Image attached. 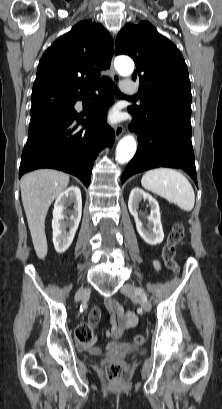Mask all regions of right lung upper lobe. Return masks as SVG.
I'll return each mask as SVG.
<instances>
[{
	"label": "right lung upper lobe",
	"instance_id": "obj_1",
	"mask_svg": "<svg viewBox=\"0 0 222 409\" xmlns=\"http://www.w3.org/2000/svg\"><path fill=\"white\" fill-rule=\"evenodd\" d=\"M114 43L109 32L91 21L77 23L43 54L31 96L32 106H53L87 99L109 82L98 72L110 67Z\"/></svg>",
	"mask_w": 222,
	"mask_h": 409
}]
</instances>
